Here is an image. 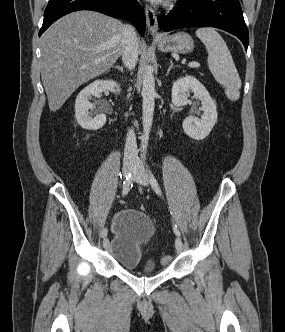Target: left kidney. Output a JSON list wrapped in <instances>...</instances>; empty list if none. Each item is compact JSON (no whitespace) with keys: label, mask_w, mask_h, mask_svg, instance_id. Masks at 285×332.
I'll list each match as a JSON object with an SVG mask.
<instances>
[{"label":"left kidney","mask_w":285,"mask_h":332,"mask_svg":"<svg viewBox=\"0 0 285 332\" xmlns=\"http://www.w3.org/2000/svg\"><path fill=\"white\" fill-rule=\"evenodd\" d=\"M193 92L201 101L203 114L201 118L189 116L183 121V130L191 138L202 140L206 138L217 121V110L214 100L206 88L193 76L186 75L173 83L172 103L176 107L187 104V94Z\"/></svg>","instance_id":"left-kidney-1"}]
</instances>
